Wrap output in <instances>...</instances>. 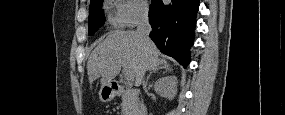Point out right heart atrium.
Here are the masks:
<instances>
[{
    "label": "right heart atrium",
    "mask_w": 285,
    "mask_h": 115,
    "mask_svg": "<svg viewBox=\"0 0 285 115\" xmlns=\"http://www.w3.org/2000/svg\"><path fill=\"white\" fill-rule=\"evenodd\" d=\"M148 5L144 0L116 1L115 24L119 27H134L146 20Z\"/></svg>",
    "instance_id": "d8ad5b80"
}]
</instances>
